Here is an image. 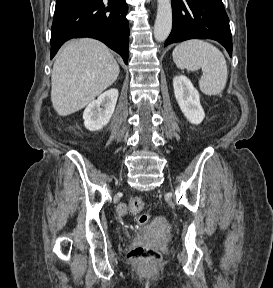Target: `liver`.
<instances>
[{"label":"liver","mask_w":273,"mask_h":288,"mask_svg":"<svg viewBox=\"0 0 273 288\" xmlns=\"http://www.w3.org/2000/svg\"><path fill=\"white\" fill-rule=\"evenodd\" d=\"M119 65L110 49L95 39L66 43L56 58L51 76V101L60 116L73 114L111 86Z\"/></svg>","instance_id":"liver-1"}]
</instances>
